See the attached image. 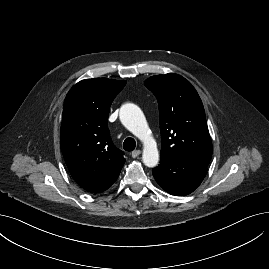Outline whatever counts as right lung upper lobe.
Returning <instances> with one entry per match:
<instances>
[{"label": "right lung upper lobe", "mask_w": 269, "mask_h": 269, "mask_svg": "<svg viewBox=\"0 0 269 269\" xmlns=\"http://www.w3.org/2000/svg\"><path fill=\"white\" fill-rule=\"evenodd\" d=\"M126 81L86 79L68 92L63 108L60 144L74 180L85 190L99 193L118 178L125 163L107 126L109 108Z\"/></svg>", "instance_id": "1"}]
</instances>
